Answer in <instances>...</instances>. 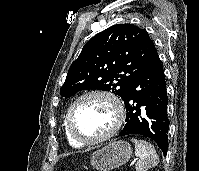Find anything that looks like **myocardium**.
<instances>
[{"label":"myocardium","instance_id":"1","mask_svg":"<svg viewBox=\"0 0 199 171\" xmlns=\"http://www.w3.org/2000/svg\"><path fill=\"white\" fill-rule=\"evenodd\" d=\"M103 97L107 99L111 104L113 105L114 111H115V122L112 128L105 133L104 135H101L96 138H84L80 136L74 126H73V112L75 107L84 99L90 98V97ZM125 108L123 105L122 100L113 92L103 89H92L89 91L84 92L83 94L79 95L69 106V109L66 114V124L69 134L74 138L77 142L83 144V145H93L100 142H103L111 137H113L122 127L124 121H125Z\"/></svg>","mask_w":199,"mask_h":171}]
</instances>
